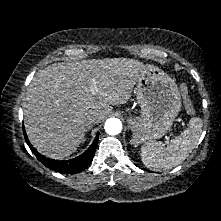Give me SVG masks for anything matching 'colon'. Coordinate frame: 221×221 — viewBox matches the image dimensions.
Here are the masks:
<instances>
[{
    "label": "colon",
    "mask_w": 221,
    "mask_h": 221,
    "mask_svg": "<svg viewBox=\"0 0 221 221\" xmlns=\"http://www.w3.org/2000/svg\"><path fill=\"white\" fill-rule=\"evenodd\" d=\"M180 90L183 95L184 106L186 111L191 115L195 114V107L190 99L187 86L185 84H181Z\"/></svg>",
    "instance_id": "5ec220e1"
}]
</instances>
